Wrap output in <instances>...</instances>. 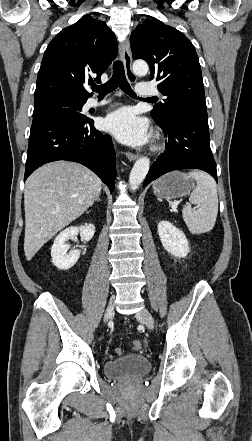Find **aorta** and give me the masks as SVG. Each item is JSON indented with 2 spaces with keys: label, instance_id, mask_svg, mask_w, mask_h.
I'll list each match as a JSON object with an SVG mask.
<instances>
[{
  "label": "aorta",
  "instance_id": "aorta-1",
  "mask_svg": "<svg viewBox=\"0 0 252 441\" xmlns=\"http://www.w3.org/2000/svg\"><path fill=\"white\" fill-rule=\"evenodd\" d=\"M148 70L149 66L145 61L137 60L133 63V71L137 75H146L148 73ZM149 168L150 160L147 157H141L135 162L129 176V184L132 191L138 189L140 184L145 179Z\"/></svg>",
  "mask_w": 252,
  "mask_h": 441
}]
</instances>
